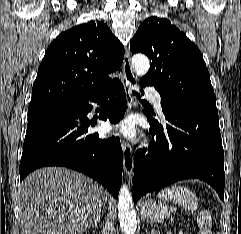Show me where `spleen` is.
Returning a JSON list of instances; mask_svg holds the SVG:
<instances>
[{"mask_svg": "<svg viewBox=\"0 0 241 234\" xmlns=\"http://www.w3.org/2000/svg\"><path fill=\"white\" fill-rule=\"evenodd\" d=\"M158 197L176 203L190 211H195L198 206L196 195L189 189L180 185H172L171 187L161 190ZM197 223L200 228L198 234H212L209 229L212 223L211 215L207 210L203 209L198 213Z\"/></svg>", "mask_w": 241, "mask_h": 234, "instance_id": "obj_1", "label": "spleen"}]
</instances>
